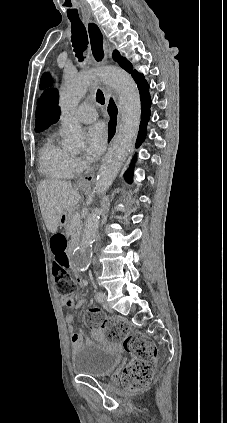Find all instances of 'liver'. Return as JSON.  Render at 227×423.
Here are the masks:
<instances>
[{"mask_svg":"<svg viewBox=\"0 0 227 423\" xmlns=\"http://www.w3.org/2000/svg\"><path fill=\"white\" fill-rule=\"evenodd\" d=\"M38 202L45 225L51 233H56L60 215L65 210H72L81 196L67 182L43 180L37 188Z\"/></svg>","mask_w":227,"mask_h":423,"instance_id":"1","label":"liver"}]
</instances>
